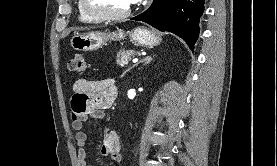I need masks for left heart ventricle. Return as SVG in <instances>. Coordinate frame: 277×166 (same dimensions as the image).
Instances as JSON below:
<instances>
[{"mask_svg":"<svg viewBox=\"0 0 277 166\" xmlns=\"http://www.w3.org/2000/svg\"><path fill=\"white\" fill-rule=\"evenodd\" d=\"M87 5L94 11L109 14H119L127 11L134 0H86Z\"/></svg>","mask_w":277,"mask_h":166,"instance_id":"1","label":"left heart ventricle"}]
</instances>
